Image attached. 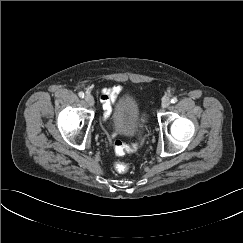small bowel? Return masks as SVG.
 <instances>
[{
	"instance_id": "c3829d8e",
	"label": "small bowel",
	"mask_w": 243,
	"mask_h": 243,
	"mask_svg": "<svg viewBox=\"0 0 243 243\" xmlns=\"http://www.w3.org/2000/svg\"><path fill=\"white\" fill-rule=\"evenodd\" d=\"M122 91V86L113 85L101 90L100 101L103 104L105 110L104 118L107 119L110 116L112 107L117 101V97Z\"/></svg>"
}]
</instances>
